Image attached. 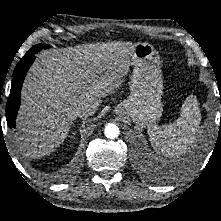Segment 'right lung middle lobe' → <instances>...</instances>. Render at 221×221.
I'll return each instance as SVG.
<instances>
[{
	"instance_id": "1",
	"label": "right lung middle lobe",
	"mask_w": 221,
	"mask_h": 221,
	"mask_svg": "<svg viewBox=\"0 0 221 221\" xmlns=\"http://www.w3.org/2000/svg\"><path fill=\"white\" fill-rule=\"evenodd\" d=\"M50 46L45 44H37L34 47H32L28 52L30 53H37L42 49H48Z\"/></svg>"
}]
</instances>
